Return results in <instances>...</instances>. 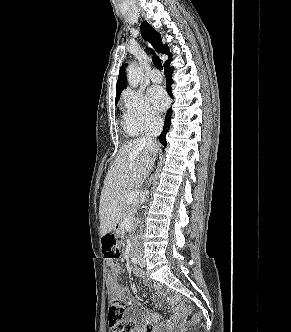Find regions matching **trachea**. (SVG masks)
<instances>
[{"label":"trachea","mask_w":291,"mask_h":332,"mask_svg":"<svg viewBox=\"0 0 291 332\" xmlns=\"http://www.w3.org/2000/svg\"><path fill=\"white\" fill-rule=\"evenodd\" d=\"M153 52V51H152ZM152 61L155 65L156 68L162 70L163 69V66H162V63H161V60L160 58L157 56V55H154L153 58H152Z\"/></svg>","instance_id":"trachea-1"}]
</instances>
